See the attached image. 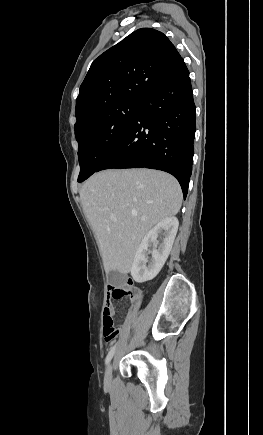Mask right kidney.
<instances>
[{"label": "right kidney", "mask_w": 263, "mask_h": 435, "mask_svg": "<svg viewBox=\"0 0 263 435\" xmlns=\"http://www.w3.org/2000/svg\"><path fill=\"white\" fill-rule=\"evenodd\" d=\"M178 226V219L170 216L160 221L144 236L131 266V275L136 282L142 283L157 276L172 249ZM158 236L160 241L157 240ZM150 247H153L152 251Z\"/></svg>", "instance_id": "obj_1"}]
</instances>
